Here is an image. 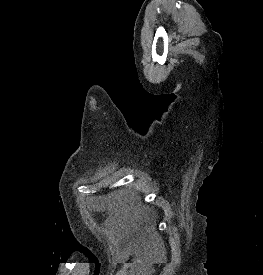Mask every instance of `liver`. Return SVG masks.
<instances>
[{
	"label": "liver",
	"mask_w": 263,
	"mask_h": 275,
	"mask_svg": "<svg viewBox=\"0 0 263 275\" xmlns=\"http://www.w3.org/2000/svg\"><path fill=\"white\" fill-rule=\"evenodd\" d=\"M100 202L106 204L110 210H114L118 217L127 222H133L137 218H148V209L140 204H135L134 196L126 191L109 194L107 197L99 198Z\"/></svg>",
	"instance_id": "liver-1"
}]
</instances>
